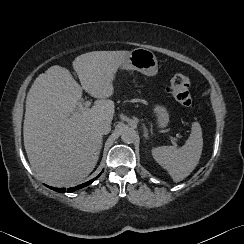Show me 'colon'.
<instances>
[{"instance_id": "1", "label": "colon", "mask_w": 244, "mask_h": 244, "mask_svg": "<svg viewBox=\"0 0 244 244\" xmlns=\"http://www.w3.org/2000/svg\"><path fill=\"white\" fill-rule=\"evenodd\" d=\"M191 80L185 73L175 74L169 84V91L174 99L183 107H191L193 99L190 94Z\"/></svg>"}]
</instances>
